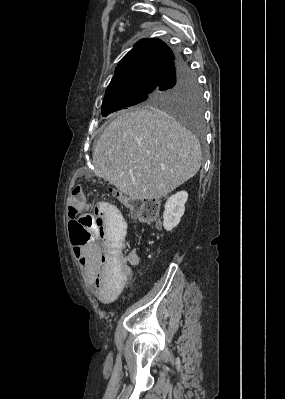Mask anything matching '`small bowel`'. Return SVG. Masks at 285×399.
<instances>
[{
  "label": "small bowel",
  "mask_w": 285,
  "mask_h": 399,
  "mask_svg": "<svg viewBox=\"0 0 285 399\" xmlns=\"http://www.w3.org/2000/svg\"><path fill=\"white\" fill-rule=\"evenodd\" d=\"M87 229L97 233L101 241L75 246L74 252L85 278L93 282L98 300L109 303L120 294L124 286L119 270L110 266L109 249L121 246L128 234V225L114 206L102 201L94 205L93 217ZM103 249H108V252L103 253ZM136 263L137 255L134 252L132 264Z\"/></svg>",
  "instance_id": "small-bowel-1"
}]
</instances>
